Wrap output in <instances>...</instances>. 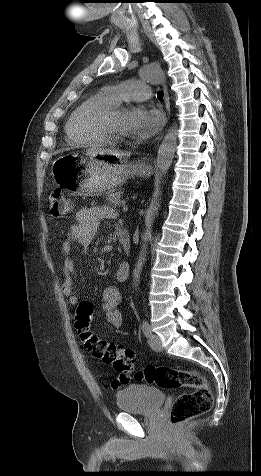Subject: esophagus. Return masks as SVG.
Segmentation results:
<instances>
[{
	"label": "esophagus",
	"mask_w": 261,
	"mask_h": 476,
	"mask_svg": "<svg viewBox=\"0 0 261 476\" xmlns=\"http://www.w3.org/2000/svg\"><path fill=\"white\" fill-rule=\"evenodd\" d=\"M163 90H164L165 107H166L167 114H169L170 113V102H169V96H168L166 85H163ZM161 137H159V140L161 139Z\"/></svg>",
	"instance_id": "34e87169"
}]
</instances>
